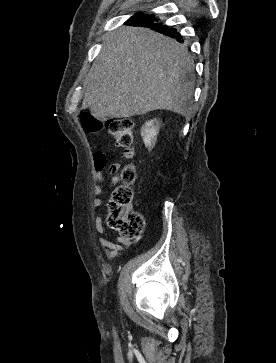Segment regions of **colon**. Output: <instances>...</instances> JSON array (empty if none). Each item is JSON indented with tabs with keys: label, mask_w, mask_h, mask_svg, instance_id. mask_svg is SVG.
I'll return each instance as SVG.
<instances>
[{
	"label": "colon",
	"mask_w": 276,
	"mask_h": 363,
	"mask_svg": "<svg viewBox=\"0 0 276 363\" xmlns=\"http://www.w3.org/2000/svg\"><path fill=\"white\" fill-rule=\"evenodd\" d=\"M83 125L89 132L95 133L106 130L115 139L116 143L124 149L126 157L134 155L132 148L134 122L129 118H118L105 123L93 117H85ZM121 185L112 192L108 202L107 225L124 238L138 237L145 226L141 213L131 207L133 191L131 184L135 181L136 173L132 165H126L120 175Z\"/></svg>",
	"instance_id": "colon-1"
}]
</instances>
